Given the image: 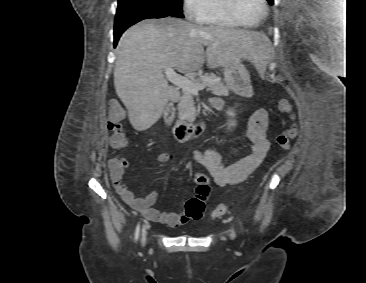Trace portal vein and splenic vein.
<instances>
[{"label":"portal vein and splenic vein","instance_id":"portal-vein-and-splenic-vein-1","mask_svg":"<svg viewBox=\"0 0 366 283\" xmlns=\"http://www.w3.org/2000/svg\"><path fill=\"white\" fill-rule=\"evenodd\" d=\"M166 79L173 85L181 88L184 92L197 95L198 92L206 87L205 84L197 83L193 79L184 77L174 71L171 67H165L164 69Z\"/></svg>","mask_w":366,"mask_h":283}]
</instances>
